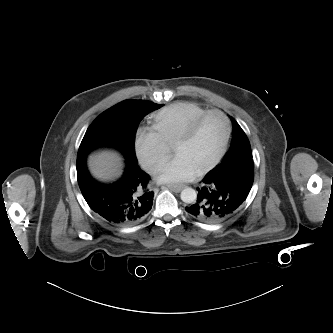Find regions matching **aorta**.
I'll use <instances>...</instances> for the list:
<instances>
[{
	"mask_svg": "<svg viewBox=\"0 0 333 333\" xmlns=\"http://www.w3.org/2000/svg\"><path fill=\"white\" fill-rule=\"evenodd\" d=\"M181 200L185 203H193L197 198V193L193 188H186L181 192Z\"/></svg>",
	"mask_w": 333,
	"mask_h": 333,
	"instance_id": "aorta-1",
	"label": "aorta"
}]
</instances>
